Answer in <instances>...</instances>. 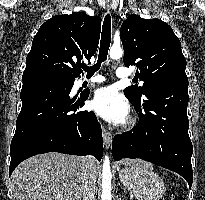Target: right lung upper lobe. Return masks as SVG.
Instances as JSON below:
<instances>
[{
    "instance_id": "1",
    "label": "right lung upper lobe",
    "mask_w": 205,
    "mask_h": 200,
    "mask_svg": "<svg viewBox=\"0 0 205 200\" xmlns=\"http://www.w3.org/2000/svg\"><path fill=\"white\" fill-rule=\"evenodd\" d=\"M100 31L101 18L84 12L50 18L33 38L23 76L53 74L75 80L82 72L81 61L95 54Z\"/></svg>"
}]
</instances>
